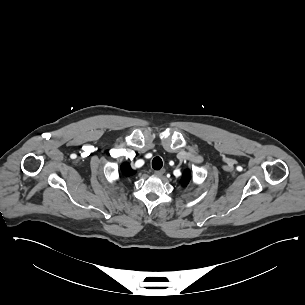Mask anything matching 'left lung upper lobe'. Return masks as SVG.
I'll use <instances>...</instances> for the list:
<instances>
[{
  "instance_id": "5c2ea615",
  "label": "left lung upper lobe",
  "mask_w": 305,
  "mask_h": 305,
  "mask_svg": "<svg viewBox=\"0 0 305 305\" xmlns=\"http://www.w3.org/2000/svg\"><path fill=\"white\" fill-rule=\"evenodd\" d=\"M191 179V174H190V171L189 170H186L183 174V177H182V180H181V184L182 186H186L189 181Z\"/></svg>"
}]
</instances>
